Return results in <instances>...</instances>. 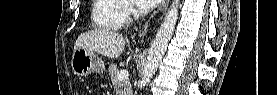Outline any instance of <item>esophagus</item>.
<instances>
[{"label":"esophagus","mask_w":277,"mask_h":95,"mask_svg":"<svg viewBox=\"0 0 277 95\" xmlns=\"http://www.w3.org/2000/svg\"><path fill=\"white\" fill-rule=\"evenodd\" d=\"M168 4H169V0H162L160 6H159V8H158V10L156 11V13H158V12H160V11H162V12L166 11V10H167V7H168ZM148 30H149V23L147 22V23L145 24L143 30L140 31L139 35H140V36H145V35L147 34Z\"/></svg>","instance_id":"34e87169"}]
</instances>
